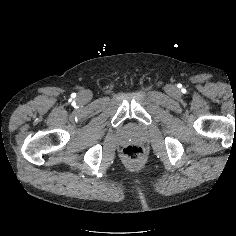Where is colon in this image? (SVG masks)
Wrapping results in <instances>:
<instances>
[{
	"label": "colon",
	"mask_w": 236,
	"mask_h": 236,
	"mask_svg": "<svg viewBox=\"0 0 236 236\" xmlns=\"http://www.w3.org/2000/svg\"><path fill=\"white\" fill-rule=\"evenodd\" d=\"M123 155L129 161H138L143 157V148L138 145H128L123 149Z\"/></svg>",
	"instance_id": "obj_1"
}]
</instances>
